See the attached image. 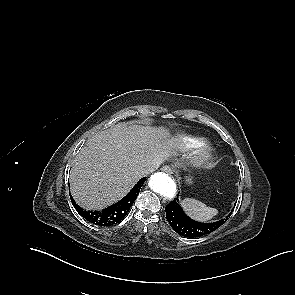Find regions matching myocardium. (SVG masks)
Returning a JSON list of instances; mask_svg holds the SVG:
<instances>
[{"label": "myocardium", "mask_w": 295, "mask_h": 295, "mask_svg": "<svg viewBox=\"0 0 295 295\" xmlns=\"http://www.w3.org/2000/svg\"><path fill=\"white\" fill-rule=\"evenodd\" d=\"M215 150L210 145H203L194 154L193 160L197 166H205L214 157Z\"/></svg>", "instance_id": "obj_1"}]
</instances>
